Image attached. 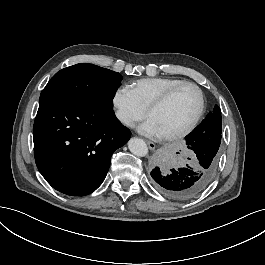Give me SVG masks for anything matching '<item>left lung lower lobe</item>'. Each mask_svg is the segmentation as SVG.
Returning a JSON list of instances; mask_svg holds the SVG:
<instances>
[{
    "instance_id": "left-lung-lower-lobe-1",
    "label": "left lung lower lobe",
    "mask_w": 265,
    "mask_h": 265,
    "mask_svg": "<svg viewBox=\"0 0 265 265\" xmlns=\"http://www.w3.org/2000/svg\"><path fill=\"white\" fill-rule=\"evenodd\" d=\"M188 147L196 154L193 166L167 169L155 167L150 175L152 186L163 196L190 200L203 192L214 179L218 166L221 137H208L193 130L187 137Z\"/></svg>"
}]
</instances>
